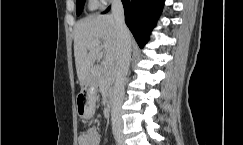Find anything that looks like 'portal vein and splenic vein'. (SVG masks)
<instances>
[{
    "mask_svg": "<svg viewBox=\"0 0 243 145\" xmlns=\"http://www.w3.org/2000/svg\"><path fill=\"white\" fill-rule=\"evenodd\" d=\"M98 45H100V42H99V41H94V42H92V43L89 45V48H92V47H94V46H98ZM105 62H106L107 64H113V57H112V55L106 53V54H105Z\"/></svg>",
    "mask_w": 243,
    "mask_h": 145,
    "instance_id": "obj_1",
    "label": "portal vein and splenic vein"
}]
</instances>
